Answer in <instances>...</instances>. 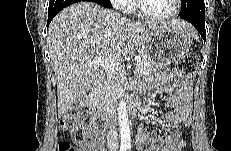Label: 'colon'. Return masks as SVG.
<instances>
[{
	"instance_id": "colon-1",
	"label": "colon",
	"mask_w": 231,
	"mask_h": 151,
	"mask_svg": "<svg viewBox=\"0 0 231 151\" xmlns=\"http://www.w3.org/2000/svg\"><path fill=\"white\" fill-rule=\"evenodd\" d=\"M197 58L193 54L185 55L178 61L177 67L179 73L187 82H191L197 71ZM60 128L63 131H70L74 144L70 142H61L59 151H84L82 144L87 136L85 126L82 121V113L78 108L70 109L61 115ZM181 147H174L172 151H179Z\"/></svg>"
}]
</instances>
